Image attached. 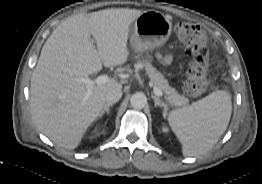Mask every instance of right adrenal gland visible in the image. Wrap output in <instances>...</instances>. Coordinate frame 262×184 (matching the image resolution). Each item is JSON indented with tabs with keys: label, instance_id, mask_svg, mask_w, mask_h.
Masks as SVG:
<instances>
[{
	"label": "right adrenal gland",
	"instance_id": "right-adrenal-gland-1",
	"mask_svg": "<svg viewBox=\"0 0 262 184\" xmlns=\"http://www.w3.org/2000/svg\"><path fill=\"white\" fill-rule=\"evenodd\" d=\"M113 106V104L107 103L104 105L101 113L99 114V118H102V116L106 113L107 115H109V108Z\"/></svg>",
	"mask_w": 262,
	"mask_h": 184
}]
</instances>
